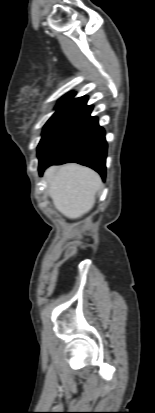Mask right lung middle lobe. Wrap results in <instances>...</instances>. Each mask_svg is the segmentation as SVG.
Segmentation results:
<instances>
[{"label": "right lung middle lobe", "mask_w": 155, "mask_h": 413, "mask_svg": "<svg viewBox=\"0 0 155 413\" xmlns=\"http://www.w3.org/2000/svg\"><path fill=\"white\" fill-rule=\"evenodd\" d=\"M79 107H69L57 110L45 124L42 138L38 145L37 155L42 162L62 139Z\"/></svg>", "instance_id": "obj_1"}]
</instances>
